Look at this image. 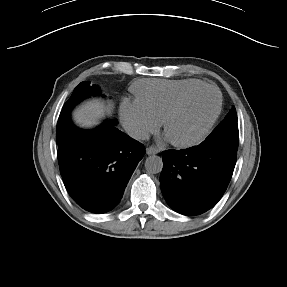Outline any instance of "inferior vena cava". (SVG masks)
Returning <instances> with one entry per match:
<instances>
[{
  "mask_svg": "<svg viewBox=\"0 0 287 287\" xmlns=\"http://www.w3.org/2000/svg\"><path fill=\"white\" fill-rule=\"evenodd\" d=\"M125 132L136 140H149V133L140 125L135 123H128L124 125Z\"/></svg>",
  "mask_w": 287,
  "mask_h": 287,
  "instance_id": "inferior-vena-cava-1",
  "label": "inferior vena cava"
}]
</instances>
